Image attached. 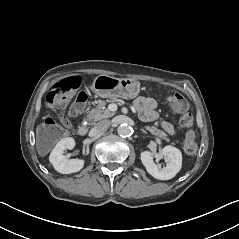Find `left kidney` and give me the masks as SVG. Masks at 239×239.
<instances>
[{
    "mask_svg": "<svg viewBox=\"0 0 239 239\" xmlns=\"http://www.w3.org/2000/svg\"><path fill=\"white\" fill-rule=\"evenodd\" d=\"M162 155L167 159L168 163L166 167L159 169L153 161L154 154L150 151H144L141 153V161L145 166L147 172L154 178L159 180H169L173 178L181 169L182 166V154L181 151L173 146H165L162 151Z\"/></svg>",
    "mask_w": 239,
    "mask_h": 239,
    "instance_id": "1",
    "label": "left kidney"
}]
</instances>
